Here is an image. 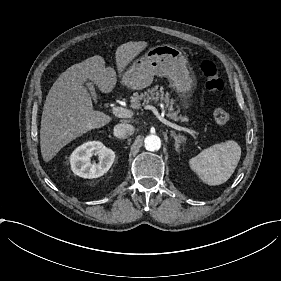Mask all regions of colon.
<instances>
[{"label": "colon", "instance_id": "5ec220e1", "mask_svg": "<svg viewBox=\"0 0 281 281\" xmlns=\"http://www.w3.org/2000/svg\"><path fill=\"white\" fill-rule=\"evenodd\" d=\"M201 72L205 79L206 87L214 92H218L223 88L224 81L215 64L211 61H204L200 65ZM214 121L218 125H226L229 122L230 116L223 109L215 110L213 114Z\"/></svg>", "mask_w": 281, "mask_h": 281}]
</instances>
